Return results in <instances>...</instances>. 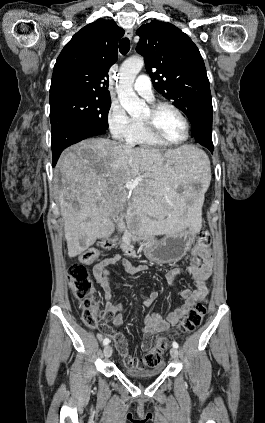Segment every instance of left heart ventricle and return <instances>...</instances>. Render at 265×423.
Returning a JSON list of instances; mask_svg holds the SVG:
<instances>
[{
  "label": "left heart ventricle",
  "mask_w": 265,
  "mask_h": 423,
  "mask_svg": "<svg viewBox=\"0 0 265 423\" xmlns=\"http://www.w3.org/2000/svg\"><path fill=\"white\" fill-rule=\"evenodd\" d=\"M150 116L146 110L142 119ZM155 122L159 131L169 140L179 141L185 136V125L182 119L173 110L164 108L155 115Z\"/></svg>",
  "instance_id": "b2bd125f"
}]
</instances>
